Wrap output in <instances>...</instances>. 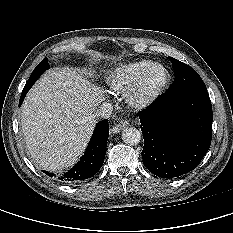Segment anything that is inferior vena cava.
Instances as JSON below:
<instances>
[{
	"label": "inferior vena cava",
	"mask_w": 233,
	"mask_h": 233,
	"mask_svg": "<svg viewBox=\"0 0 233 233\" xmlns=\"http://www.w3.org/2000/svg\"><path fill=\"white\" fill-rule=\"evenodd\" d=\"M112 111H113V106L110 103L105 102L99 107L95 116L106 119L111 116Z\"/></svg>",
	"instance_id": "602c4592"
}]
</instances>
